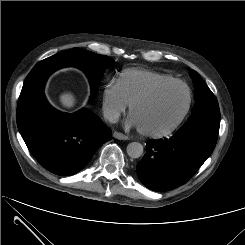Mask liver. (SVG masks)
<instances>
[{
  "mask_svg": "<svg viewBox=\"0 0 245 245\" xmlns=\"http://www.w3.org/2000/svg\"><path fill=\"white\" fill-rule=\"evenodd\" d=\"M60 102L65 108H72L76 104V99L73 93L67 91L60 95Z\"/></svg>",
  "mask_w": 245,
  "mask_h": 245,
  "instance_id": "liver-1",
  "label": "liver"
}]
</instances>
